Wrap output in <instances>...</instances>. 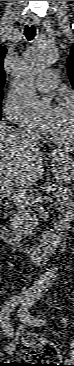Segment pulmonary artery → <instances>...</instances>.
<instances>
[{"label":"pulmonary artery","mask_w":74,"mask_h":366,"mask_svg":"<svg viewBox=\"0 0 74 366\" xmlns=\"http://www.w3.org/2000/svg\"><path fill=\"white\" fill-rule=\"evenodd\" d=\"M58 81V72L53 69H47L39 75L34 86L38 91H50L56 88Z\"/></svg>","instance_id":"e3ab8cb5"}]
</instances>
